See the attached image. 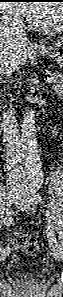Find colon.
<instances>
[{"label": "colon", "mask_w": 63, "mask_h": 297, "mask_svg": "<svg viewBox=\"0 0 63 297\" xmlns=\"http://www.w3.org/2000/svg\"><path fill=\"white\" fill-rule=\"evenodd\" d=\"M12 243L29 255H35L39 250L37 241L26 232H16L12 237Z\"/></svg>", "instance_id": "colon-1"}]
</instances>
